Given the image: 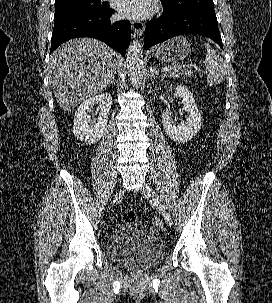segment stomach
<instances>
[{"label":"stomach","instance_id":"stomach-1","mask_svg":"<svg viewBox=\"0 0 272 303\" xmlns=\"http://www.w3.org/2000/svg\"><path fill=\"white\" fill-rule=\"evenodd\" d=\"M190 52L191 47L186 38L175 37L159 45L155 56L162 62L174 63L186 58Z\"/></svg>","mask_w":272,"mask_h":303}]
</instances>
